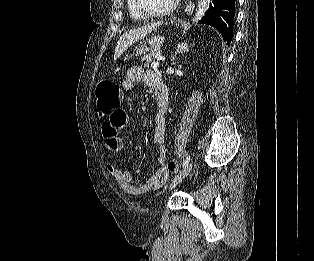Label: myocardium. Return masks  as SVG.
<instances>
[{
  "instance_id": "1",
  "label": "myocardium",
  "mask_w": 314,
  "mask_h": 261,
  "mask_svg": "<svg viewBox=\"0 0 314 261\" xmlns=\"http://www.w3.org/2000/svg\"><path fill=\"white\" fill-rule=\"evenodd\" d=\"M180 0H173L171 5L164 10H151L147 8L142 0H135V5L140 13H142L146 17H165L170 15L178 6Z\"/></svg>"
}]
</instances>
